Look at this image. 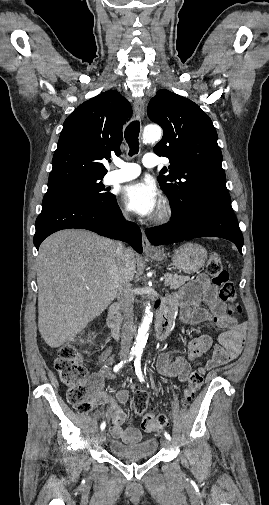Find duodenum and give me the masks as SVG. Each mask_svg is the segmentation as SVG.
Here are the masks:
<instances>
[{
	"mask_svg": "<svg viewBox=\"0 0 269 505\" xmlns=\"http://www.w3.org/2000/svg\"><path fill=\"white\" fill-rule=\"evenodd\" d=\"M174 313L175 309L169 302L163 301L160 304L155 322L156 337L158 340H164L167 337L172 326ZM107 324L111 329L113 336L116 339H119L121 330V312L119 303H115L111 306L108 313Z\"/></svg>",
	"mask_w": 269,
	"mask_h": 505,
	"instance_id": "1",
	"label": "duodenum"
}]
</instances>
